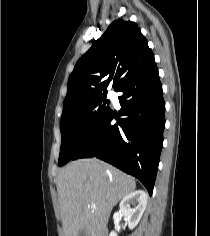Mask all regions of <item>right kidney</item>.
I'll return each mask as SVG.
<instances>
[{
	"label": "right kidney",
	"instance_id": "ca27d5eb",
	"mask_svg": "<svg viewBox=\"0 0 210 236\" xmlns=\"http://www.w3.org/2000/svg\"><path fill=\"white\" fill-rule=\"evenodd\" d=\"M147 200L148 195L142 190H137L126 195L120 202L119 215L126 219L129 229L135 228L139 223L145 211ZM131 205L134 208H131ZM109 236H117V233L111 231Z\"/></svg>",
	"mask_w": 210,
	"mask_h": 236
}]
</instances>
